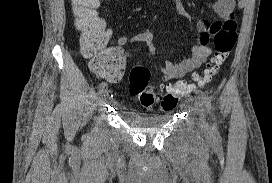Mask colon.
I'll list each match as a JSON object with an SVG mask.
<instances>
[{
    "instance_id": "1",
    "label": "colon",
    "mask_w": 272,
    "mask_h": 183,
    "mask_svg": "<svg viewBox=\"0 0 272 183\" xmlns=\"http://www.w3.org/2000/svg\"><path fill=\"white\" fill-rule=\"evenodd\" d=\"M104 0H71L75 25L80 35V47L83 55L90 59L92 66L99 72L106 71L117 61V56L106 49L109 35L99 9ZM219 25L217 36H214V54L210 62L199 73L193 75V83L177 82L167 88L161 98V106L169 111L176 107L178 100L189 93L195 85L204 86L220 70L232 51L237 39V24L233 16ZM209 40V39H208ZM150 72L143 66H135L129 75V92L144 107H152L159 100L158 92L149 84Z\"/></svg>"
}]
</instances>
